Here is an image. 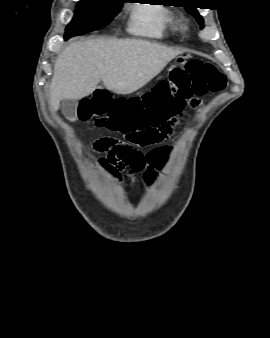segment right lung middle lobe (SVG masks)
Masks as SVG:
<instances>
[{"instance_id": "obj_1", "label": "right lung middle lobe", "mask_w": 270, "mask_h": 338, "mask_svg": "<svg viewBox=\"0 0 270 338\" xmlns=\"http://www.w3.org/2000/svg\"><path fill=\"white\" fill-rule=\"evenodd\" d=\"M124 0H81L66 27L65 39L106 26L118 14Z\"/></svg>"}]
</instances>
